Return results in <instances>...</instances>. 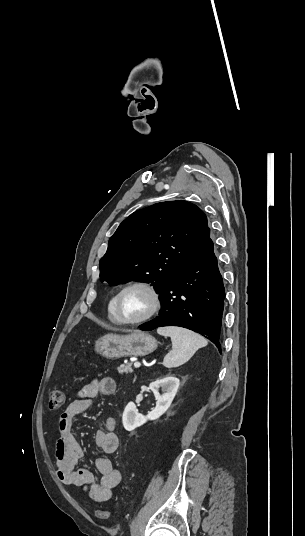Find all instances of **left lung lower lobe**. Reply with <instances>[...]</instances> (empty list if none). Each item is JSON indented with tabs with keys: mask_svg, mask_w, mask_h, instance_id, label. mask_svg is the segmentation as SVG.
<instances>
[{
	"mask_svg": "<svg viewBox=\"0 0 305 536\" xmlns=\"http://www.w3.org/2000/svg\"><path fill=\"white\" fill-rule=\"evenodd\" d=\"M224 285L210 239L202 250L161 291L159 316L140 326L188 328L208 338L221 352L220 333Z\"/></svg>",
	"mask_w": 305,
	"mask_h": 536,
	"instance_id": "left-lung-lower-lobe-1",
	"label": "left lung lower lobe"
}]
</instances>
